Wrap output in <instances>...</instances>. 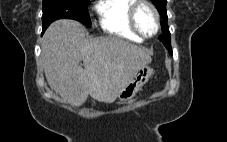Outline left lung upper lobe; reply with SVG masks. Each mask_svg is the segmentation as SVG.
Segmentation results:
<instances>
[{"instance_id": "obj_1", "label": "left lung upper lobe", "mask_w": 227, "mask_h": 142, "mask_svg": "<svg viewBox=\"0 0 227 142\" xmlns=\"http://www.w3.org/2000/svg\"><path fill=\"white\" fill-rule=\"evenodd\" d=\"M151 1L156 6V8L158 9L163 19L161 21L162 36L159 39L163 42V44L169 50V52L172 53L171 52V35L167 25V20H168L167 12H166L167 0H151Z\"/></svg>"}]
</instances>
